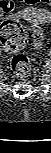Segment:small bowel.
I'll return each instance as SVG.
<instances>
[{"label": "small bowel", "instance_id": "c3829d8e", "mask_svg": "<svg viewBox=\"0 0 51 153\" xmlns=\"http://www.w3.org/2000/svg\"><path fill=\"white\" fill-rule=\"evenodd\" d=\"M1 7H2V10L4 13H8L9 11L12 10L13 5L11 2L4 0V1H1ZM37 22H42V19H40V18L37 19Z\"/></svg>", "mask_w": 51, "mask_h": 153}]
</instances>
